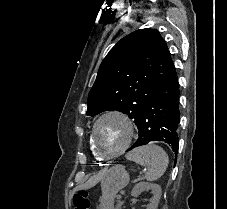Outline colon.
<instances>
[{
	"label": "colon",
	"instance_id": "obj_1",
	"mask_svg": "<svg viewBox=\"0 0 227 209\" xmlns=\"http://www.w3.org/2000/svg\"><path fill=\"white\" fill-rule=\"evenodd\" d=\"M73 209H90L91 202L86 190L82 189L73 196Z\"/></svg>",
	"mask_w": 227,
	"mask_h": 209
}]
</instances>
